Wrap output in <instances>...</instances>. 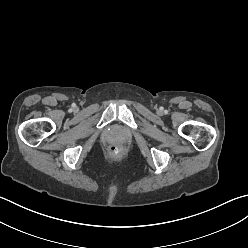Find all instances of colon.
Instances as JSON below:
<instances>
[{
  "instance_id": "obj_1",
  "label": "colon",
  "mask_w": 248,
  "mask_h": 248,
  "mask_svg": "<svg viewBox=\"0 0 248 248\" xmlns=\"http://www.w3.org/2000/svg\"><path fill=\"white\" fill-rule=\"evenodd\" d=\"M123 154V149L119 146H111L109 148V155L111 157L117 158L120 157Z\"/></svg>"
}]
</instances>
